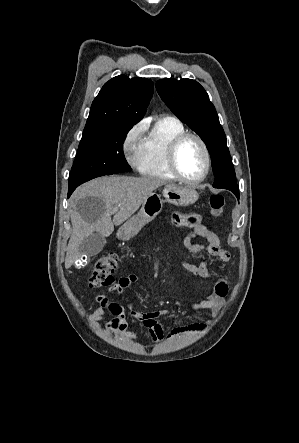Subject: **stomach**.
<instances>
[{"mask_svg":"<svg viewBox=\"0 0 299 443\" xmlns=\"http://www.w3.org/2000/svg\"><path fill=\"white\" fill-rule=\"evenodd\" d=\"M165 202L175 206L194 204L199 194L191 187L166 185L163 189ZM164 200L155 192L150 194L142 204L140 211L130 218L118 231V238L129 240L133 238L147 223L152 221L161 211Z\"/></svg>","mask_w":299,"mask_h":443,"instance_id":"0dacf381","label":"stomach"}]
</instances>
